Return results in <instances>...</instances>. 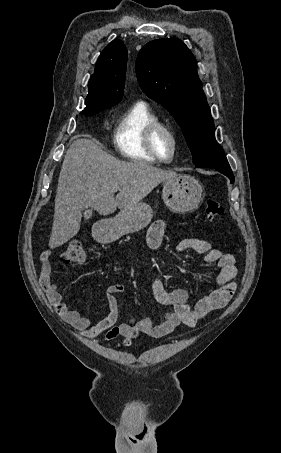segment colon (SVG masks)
<instances>
[{
    "label": "colon",
    "mask_w": 281,
    "mask_h": 453,
    "mask_svg": "<svg viewBox=\"0 0 281 453\" xmlns=\"http://www.w3.org/2000/svg\"><path fill=\"white\" fill-rule=\"evenodd\" d=\"M205 204V220L208 224H220L225 219L221 200L217 196L207 197ZM89 256L79 238H71L66 243V249L61 255L63 262H86Z\"/></svg>",
    "instance_id": "5ec220e1"
}]
</instances>
